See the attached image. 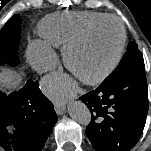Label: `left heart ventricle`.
Segmentation results:
<instances>
[{"instance_id": "obj_1", "label": "left heart ventricle", "mask_w": 151, "mask_h": 151, "mask_svg": "<svg viewBox=\"0 0 151 151\" xmlns=\"http://www.w3.org/2000/svg\"><path fill=\"white\" fill-rule=\"evenodd\" d=\"M120 31L114 22H106L94 29L86 41L71 54L74 74L91 77L104 70L116 56Z\"/></svg>"}]
</instances>
